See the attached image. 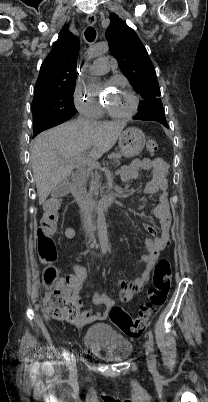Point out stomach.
I'll return each instance as SVG.
<instances>
[{
    "label": "stomach",
    "instance_id": "0dacf381",
    "mask_svg": "<svg viewBox=\"0 0 208 402\" xmlns=\"http://www.w3.org/2000/svg\"><path fill=\"white\" fill-rule=\"evenodd\" d=\"M145 136L138 128H127L119 136V148L125 158H135L141 154L145 146Z\"/></svg>",
    "mask_w": 208,
    "mask_h": 402
}]
</instances>
